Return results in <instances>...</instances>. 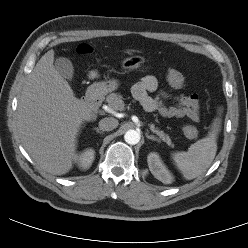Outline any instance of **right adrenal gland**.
I'll return each instance as SVG.
<instances>
[{"label":"right adrenal gland","instance_id":"1","mask_svg":"<svg viewBox=\"0 0 248 248\" xmlns=\"http://www.w3.org/2000/svg\"><path fill=\"white\" fill-rule=\"evenodd\" d=\"M94 130L99 134H103V131H101L98 127H95Z\"/></svg>","mask_w":248,"mask_h":248}]
</instances>
